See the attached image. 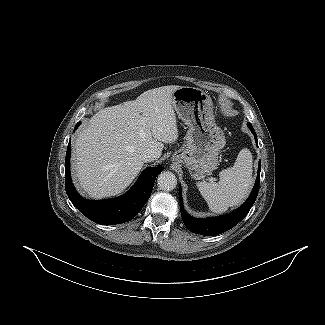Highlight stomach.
<instances>
[{
    "instance_id": "stomach-1",
    "label": "stomach",
    "mask_w": 325,
    "mask_h": 325,
    "mask_svg": "<svg viewBox=\"0 0 325 325\" xmlns=\"http://www.w3.org/2000/svg\"><path fill=\"white\" fill-rule=\"evenodd\" d=\"M172 105L179 119L188 127L186 145L172 159L184 164L192 177L213 171L225 146L223 130L215 123L211 97L195 87L181 86L172 95Z\"/></svg>"
}]
</instances>
